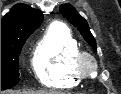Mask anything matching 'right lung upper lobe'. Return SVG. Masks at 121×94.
Segmentation results:
<instances>
[{
	"mask_svg": "<svg viewBox=\"0 0 121 94\" xmlns=\"http://www.w3.org/2000/svg\"><path fill=\"white\" fill-rule=\"evenodd\" d=\"M43 21V13L25 4L15 5L1 21V41L33 32Z\"/></svg>",
	"mask_w": 121,
	"mask_h": 94,
	"instance_id": "obj_1",
	"label": "right lung upper lobe"
}]
</instances>
